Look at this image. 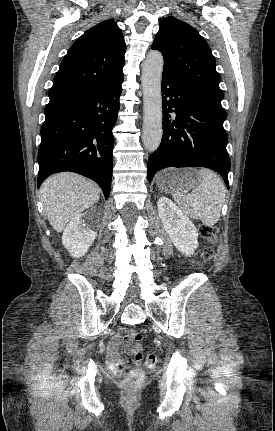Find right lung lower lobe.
<instances>
[{
	"mask_svg": "<svg viewBox=\"0 0 275 431\" xmlns=\"http://www.w3.org/2000/svg\"><path fill=\"white\" fill-rule=\"evenodd\" d=\"M50 99L38 151V187L51 174L71 171L98 183L107 199L121 84Z\"/></svg>",
	"mask_w": 275,
	"mask_h": 431,
	"instance_id": "obj_1",
	"label": "right lung lower lobe"
}]
</instances>
